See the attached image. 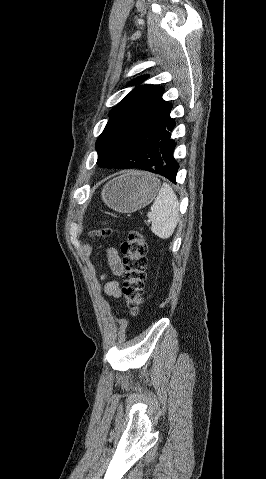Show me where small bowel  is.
<instances>
[{
	"label": "small bowel",
	"mask_w": 266,
	"mask_h": 479,
	"mask_svg": "<svg viewBox=\"0 0 266 479\" xmlns=\"http://www.w3.org/2000/svg\"><path fill=\"white\" fill-rule=\"evenodd\" d=\"M108 262L112 272L115 275L120 276L123 272V266H122L121 259L115 250H110L108 252ZM102 278L106 280V284H105L106 293L112 298H119L121 295L119 282L114 279H107L105 275H103Z\"/></svg>",
	"instance_id": "c3829d8e"
}]
</instances>
